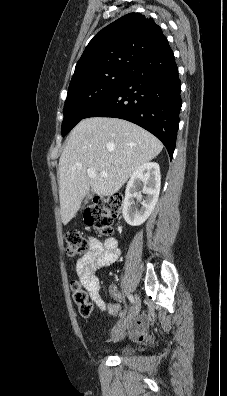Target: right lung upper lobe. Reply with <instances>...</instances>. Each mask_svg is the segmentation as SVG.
Masks as SVG:
<instances>
[{
  "mask_svg": "<svg viewBox=\"0 0 227 396\" xmlns=\"http://www.w3.org/2000/svg\"><path fill=\"white\" fill-rule=\"evenodd\" d=\"M166 45L167 38L152 18L129 13L103 28L89 42L69 87L107 70H133Z\"/></svg>",
  "mask_w": 227,
  "mask_h": 396,
  "instance_id": "obj_1",
  "label": "right lung upper lobe"
}]
</instances>
